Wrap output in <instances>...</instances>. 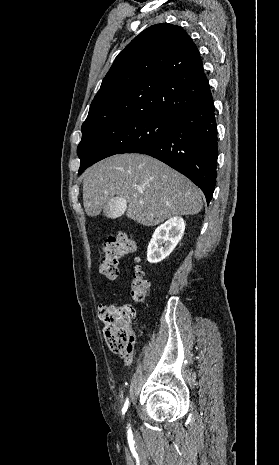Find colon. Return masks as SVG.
<instances>
[{
	"mask_svg": "<svg viewBox=\"0 0 279 465\" xmlns=\"http://www.w3.org/2000/svg\"><path fill=\"white\" fill-rule=\"evenodd\" d=\"M136 243L126 234L109 236L103 245V254L98 268L101 274L114 280L119 274L120 260L136 252ZM150 290V283L139 265L131 278L130 297L133 304L141 303ZM133 304L100 305L99 318L104 324L103 332L110 349L118 354H129L133 350L134 337L130 323L135 318Z\"/></svg>",
	"mask_w": 279,
	"mask_h": 465,
	"instance_id": "5ec220e1",
	"label": "colon"
}]
</instances>
